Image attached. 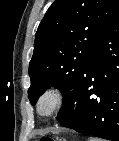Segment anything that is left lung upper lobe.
<instances>
[{"label":"left lung upper lobe","mask_w":119,"mask_h":141,"mask_svg":"<svg viewBox=\"0 0 119 141\" xmlns=\"http://www.w3.org/2000/svg\"><path fill=\"white\" fill-rule=\"evenodd\" d=\"M119 12V0H56L35 35L29 65L32 105L51 86L67 98L79 85L97 43Z\"/></svg>","instance_id":"5c2ea615"}]
</instances>
